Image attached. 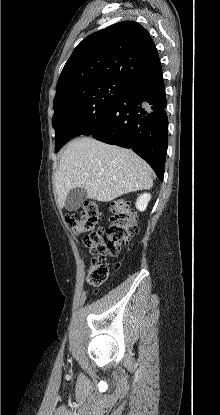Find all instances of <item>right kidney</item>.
Returning a JSON list of instances; mask_svg holds the SVG:
<instances>
[{
	"mask_svg": "<svg viewBox=\"0 0 220 415\" xmlns=\"http://www.w3.org/2000/svg\"><path fill=\"white\" fill-rule=\"evenodd\" d=\"M151 199V195L149 193L141 194L136 201V208L139 211H145L147 208L148 202Z\"/></svg>",
	"mask_w": 220,
	"mask_h": 415,
	"instance_id": "ca27d5eb",
	"label": "right kidney"
}]
</instances>
